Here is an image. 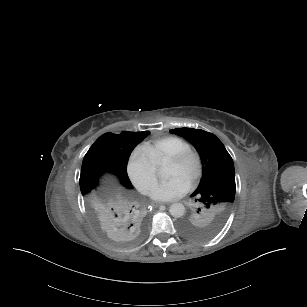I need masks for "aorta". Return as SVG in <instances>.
Returning <instances> with one entry per match:
<instances>
[{"instance_id": "1", "label": "aorta", "mask_w": 307, "mask_h": 307, "mask_svg": "<svg viewBox=\"0 0 307 307\" xmlns=\"http://www.w3.org/2000/svg\"><path fill=\"white\" fill-rule=\"evenodd\" d=\"M159 173H160L161 178L163 179H165L169 175V172L165 166L161 167ZM169 212L173 217L180 218L185 213V207L182 203H174L170 206Z\"/></svg>"}]
</instances>
